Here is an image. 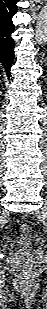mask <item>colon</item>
<instances>
[{"label": "colon", "instance_id": "obj_1", "mask_svg": "<svg viewBox=\"0 0 47 309\" xmlns=\"http://www.w3.org/2000/svg\"><path fill=\"white\" fill-rule=\"evenodd\" d=\"M21 231L23 233H28L30 231V227L28 225H22L21 226Z\"/></svg>", "mask_w": 47, "mask_h": 309}]
</instances>
